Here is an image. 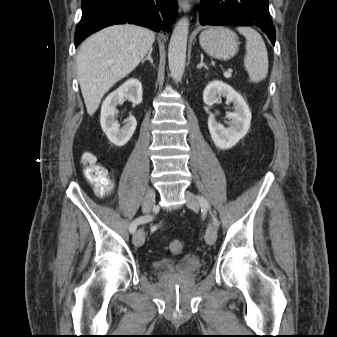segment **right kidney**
Listing matches in <instances>:
<instances>
[{"mask_svg":"<svg viewBox=\"0 0 337 337\" xmlns=\"http://www.w3.org/2000/svg\"><path fill=\"white\" fill-rule=\"evenodd\" d=\"M125 98H128L134 104L142 102V85L139 80H127L106 97L101 107L100 123L102 130L113 144L120 147L131 139L137 126L134 116H130L122 128L115 119L118 112L116 106L123 104Z\"/></svg>","mask_w":337,"mask_h":337,"instance_id":"1","label":"right kidney"}]
</instances>
